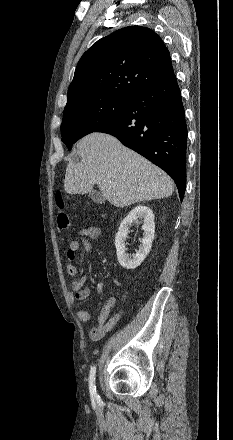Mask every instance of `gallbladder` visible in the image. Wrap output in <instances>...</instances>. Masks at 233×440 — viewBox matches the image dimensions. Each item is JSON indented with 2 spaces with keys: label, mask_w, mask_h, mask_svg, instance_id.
Returning <instances> with one entry per match:
<instances>
[{
  "label": "gallbladder",
  "mask_w": 233,
  "mask_h": 440,
  "mask_svg": "<svg viewBox=\"0 0 233 440\" xmlns=\"http://www.w3.org/2000/svg\"><path fill=\"white\" fill-rule=\"evenodd\" d=\"M89 197L96 203L102 204L105 202L104 196L98 191H91Z\"/></svg>",
  "instance_id": "bac80fb5"
}]
</instances>
